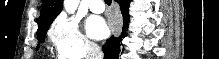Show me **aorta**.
Returning <instances> with one entry per match:
<instances>
[{
	"instance_id": "1",
	"label": "aorta",
	"mask_w": 219,
	"mask_h": 59,
	"mask_svg": "<svg viewBox=\"0 0 219 59\" xmlns=\"http://www.w3.org/2000/svg\"><path fill=\"white\" fill-rule=\"evenodd\" d=\"M79 5V0H64V8L66 12L72 14L76 11Z\"/></svg>"
}]
</instances>
